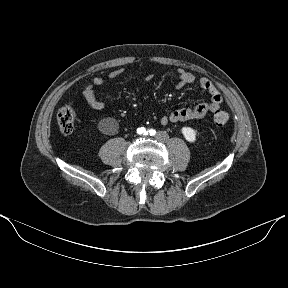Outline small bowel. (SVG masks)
<instances>
[{
	"mask_svg": "<svg viewBox=\"0 0 288 288\" xmlns=\"http://www.w3.org/2000/svg\"><path fill=\"white\" fill-rule=\"evenodd\" d=\"M124 73L123 69L114 70L109 73L108 77L110 80H114ZM178 82L177 89H181L186 85L195 83V75L183 68L177 70ZM150 78H147V81ZM199 86L207 91L210 95L209 102H201L193 108H181L174 110L168 114H164L160 118V122L163 125H168L170 123L184 122L191 120L202 119L209 112H216L219 110L222 103V95L218 88L207 78H201L198 81ZM104 85V79L102 77H95L91 84H89L83 91L84 97L90 107L96 110H101L105 107V103L98 100L95 95V87H100Z\"/></svg>",
	"mask_w": 288,
	"mask_h": 288,
	"instance_id": "obj_1",
	"label": "small bowel"
}]
</instances>
